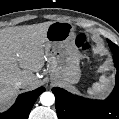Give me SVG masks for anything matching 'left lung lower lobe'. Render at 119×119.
<instances>
[{
	"label": "left lung lower lobe",
	"instance_id": "1",
	"mask_svg": "<svg viewBox=\"0 0 119 119\" xmlns=\"http://www.w3.org/2000/svg\"><path fill=\"white\" fill-rule=\"evenodd\" d=\"M117 69L113 92L105 100H89L55 87L56 111L59 119H119V47L108 40Z\"/></svg>",
	"mask_w": 119,
	"mask_h": 119
}]
</instances>
